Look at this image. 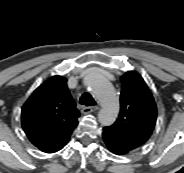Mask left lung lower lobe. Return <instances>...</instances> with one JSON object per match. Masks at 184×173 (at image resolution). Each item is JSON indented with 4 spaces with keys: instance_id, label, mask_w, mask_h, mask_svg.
I'll return each mask as SVG.
<instances>
[{
    "instance_id": "0a47b994",
    "label": "left lung lower lobe",
    "mask_w": 184,
    "mask_h": 173,
    "mask_svg": "<svg viewBox=\"0 0 184 173\" xmlns=\"http://www.w3.org/2000/svg\"><path fill=\"white\" fill-rule=\"evenodd\" d=\"M102 138L108 150L116 155H125L132 151L121 140L105 129L103 130Z\"/></svg>"
}]
</instances>
